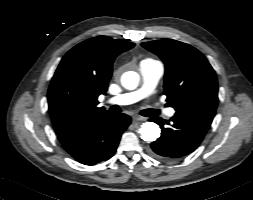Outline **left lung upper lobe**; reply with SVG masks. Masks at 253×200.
Wrapping results in <instances>:
<instances>
[{"label": "left lung upper lobe", "mask_w": 253, "mask_h": 200, "mask_svg": "<svg viewBox=\"0 0 253 200\" xmlns=\"http://www.w3.org/2000/svg\"><path fill=\"white\" fill-rule=\"evenodd\" d=\"M165 64L164 94L176 113L212 123L218 84L208 60L194 47L172 39L142 43Z\"/></svg>", "instance_id": "1"}]
</instances>
